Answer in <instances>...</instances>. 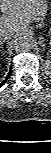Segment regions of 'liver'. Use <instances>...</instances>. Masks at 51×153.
Instances as JSON below:
<instances>
[{
    "instance_id": "obj_1",
    "label": "liver",
    "mask_w": 51,
    "mask_h": 153,
    "mask_svg": "<svg viewBox=\"0 0 51 153\" xmlns=\"http://www.w3.org/2000/svg\"><path fill=\"white\" fill-rule=\"evenodd\" d=\"M47 0H0V32H23L32 22L43 20Z\"/></svg>"
}]
</instances>
